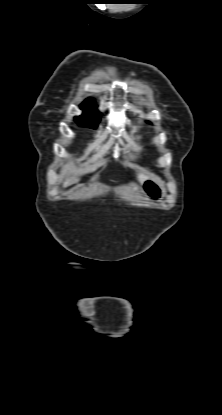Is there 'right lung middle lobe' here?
Wrapping results in <instances>:
<instances>
[{
  "label": "right lung middle lobe",
  "instance_id": "obj_1",
  "mask_svg": "<svg viewBox=\"0 0 222 415\" xmlns=\"http://www.w3.org/2000/svg\"><path fill=\"white\" fill-rule=\"evenodd\" d=\"M75 121L80 126H86L95 129L100 121V113L83 110V114L80 116H76Z\"/></svg>",
  "mask_w": 222,
  "mask_h": 415
}]
</instances>
